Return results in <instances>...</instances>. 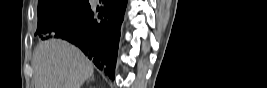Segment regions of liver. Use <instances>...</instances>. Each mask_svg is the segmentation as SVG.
I'll use <instances>...</instances> for the list:
<instances>
[{
	"mask_svg": "<svg viewBox=\"0 0 267 88\" xmlns=\"http://www.w3.org/2000/svg\"><path fill=\"white\" fill-rule=\"evenodd\" d=\"M35 88H80L92 76V63L67 41L40 42L33 54Z\"/></svg>",
	"mask_w": 267,
	"mask_h": 88,
	"instance_id": "6515ba94",
	"label": "liver"
}]
</instances>
